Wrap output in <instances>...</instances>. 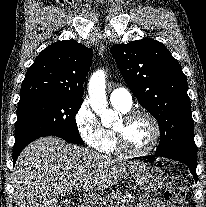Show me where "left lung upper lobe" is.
<instances>
[{
    "label": "left lung upper lobe",
    "mask_w": 206,
    "mask_h": 207,
    "mask_svg": "<svg viewBox=\"0 0 206 207\" xmlns=\"http://www.w3.org/2000/svg\"><path fill=\"white\" fill-rule=\"evenodd\" d=\"M111 53L132 93L159 123L156 154L197 156L187 80L178 61L151 38L114 45Z\"/></svg>",
    "instance_id": "1"
}]
</instances>
